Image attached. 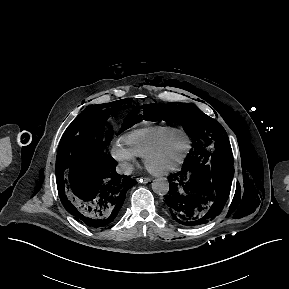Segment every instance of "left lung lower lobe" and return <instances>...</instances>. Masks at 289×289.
Returning a JSON list of instances; mask_svg holds the SVG:
<instances>
[{"label":"left lung lower lobe","instance_id":"0a47b994","mask_svg":"<svg viewBox=\"0 0 289 289\" xmlns=\"http://www.w3.org/2000/svg\"><path fill=\"white\" fill-rule=\"evenodd\" d=\"M233 175L232 165L219 168L208 155L187 156L182 170L170 176L168 212L189 227L213 220L227 201Z\"/></svg>","mask_w":289,"mask_h":289}]
</instances>
